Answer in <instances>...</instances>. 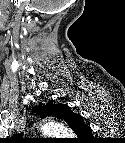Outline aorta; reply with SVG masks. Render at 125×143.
I'll use <instances>...</instances> for the list:
<instances>
[{
	"mask_svg": "<svg viewBox=\"0 0 125 143\" xmlns=\"http://www.w3.org/2000/svg\"><path fill=\"white\" fill-rule=\"evenodd\" d=\"M41 132L44 135H52V134H68L70 133V130L63 124L60 122H49L44 124L41 127Z\"/></svg>",
	"mask_w": 125,
	"mask_h": 143,
	"instance_id": "aorta-1",
	"label": "aorta"
}]
</instances>
